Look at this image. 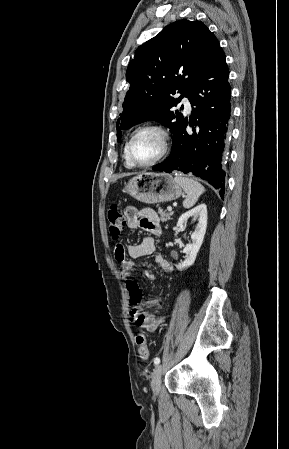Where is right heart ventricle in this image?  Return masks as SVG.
<instances>
[{
  "label": "right heart ventricle",
  "instance_id": "e07e8e85",
  "mask_svg": "<svg viewBox=\"0 0 289 449\" xmlns=\"http://www.w3.org/2000/svg\"><path fill=\"white\" fill-rule=\"evenodd\" d=\"M123 157H124L125 165H126L128 168L134 167V165L130 162V160H129V158H128V155H127V145H126L125 148H124Z\"/></svg>",
  "mask_w": 289,
  "mask_h": 449
}]
</instances>
